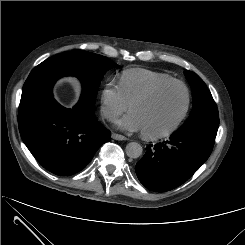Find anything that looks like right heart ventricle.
Instances as JSON below:
<instances>
[{
  "label": "right heart ventricle",
  "instance_id": "e07e8e85",
  "mask_svg": "<svg viewBox=\"0 0 245 245\" xmlns=\"http://www.w3.org/2000/svg\"><path fill=\"white\" fill-rule=\"evenodd\" d=\"M173 80V78L165 73L143 69L133 68L124 70L118 80V87L129 104L134 98L145 93L152 86Z\"/></svg>",
  "mask_w": 245,
  "mask_h": 245
}]
</instances>
